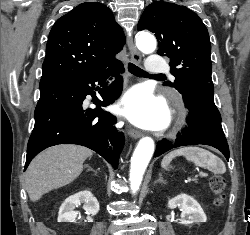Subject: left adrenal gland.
Returning a JSON list of instances; mask_svg holds the SVG:
<instances>
[{
	"label": "left adrenal gland",
	"mask_w": 250,
	"mask_h": 235,
	"mask_svg": "<svg viewBox=\"0 0 250 235\" xmlns=\"http://www.w3.org/2000/svg\"><path fill=\"white\" fill-rule=\"evenodd\" d=\"M156 183H166V181L163 180L161 173H159V179L154 182V184H156Z\"/></svg>",
	"instance_id": "left-adrenal-gland-1"
}]
</instances>
